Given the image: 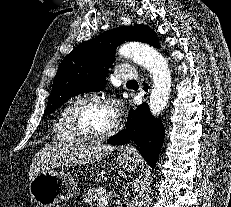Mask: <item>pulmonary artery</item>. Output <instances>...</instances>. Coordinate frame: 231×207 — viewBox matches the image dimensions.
<instances>
[{
  "label": "pulmonary artery",
  "instance_id": "obj_1",
  "mask_svg": "<svg viewBox=\"0 0 231 207\" xmlns=\"http://www.w3.org/2000/svg\"><path fill=\"white\" fill-rule=\"evenodd\" d=\"M137 75V71L128 65L119 66L116 72V77L120 80H135Z\"/></svg>",
  "mask_w": 231,
  "mask_h": 207
}]
</instances>
